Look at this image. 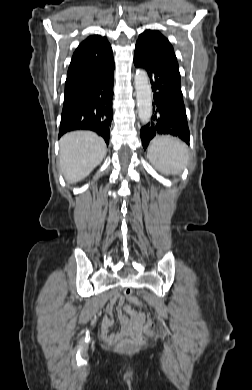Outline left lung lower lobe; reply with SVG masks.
<instances>
[{
	"instance_id": "obj_1",
	"label": "left lung lower lobe",
	"mask_w": 252,
	"mask_h": 390,
	"mask_svg": "<svg viewBox=\"0 0 252 390\" xmlns=\"http://www.w3.org/2000/svg\"><path fill=\"white\" fill-rule=\"evenodd\" d=\"M134 64L147 71L154 93L151 121L140 131L143 148L146 149L150 141L160 134L178 136L189 144L190 135L178 67L140 43L135 46Z\"/></svg>"
}]
</instances>
